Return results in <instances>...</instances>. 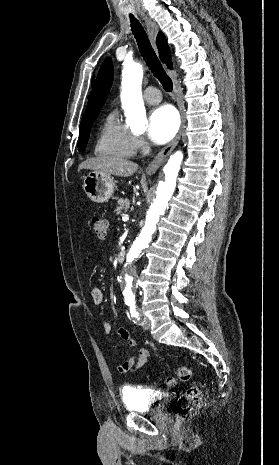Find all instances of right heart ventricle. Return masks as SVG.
Masks as SVG:
<instances>
[{"mask_svg": "<svg viewBox=\"0 0 279 465\" xmlns=\"http://www.w3.org/2000/svg\"><path fill=\"white\" fill-rule=\"evenodd\" d=\"M95 153L103 157L128 158L135 153L133 134L123 124L116 111H111L105 118Z\"/></svg>", "mask_w": 279, "mask_h": 465, "instance_id": "right-heart-ventricle-1", "label": "right heart ventricle"}]
</instances>
